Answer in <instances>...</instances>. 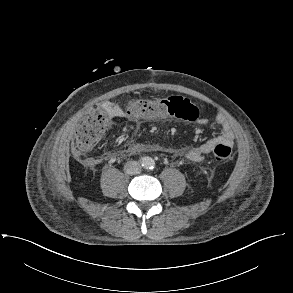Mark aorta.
I'll return each mask as SVG.
<instances>
[{
    "mask_svg": "<svg viewBox=\"0 0 293 293\" xmlns=\"http://www.w3.org/2000/svg\"><path fill=\"white\" fill-rule=\"evenodd\" d=\"M142 165H143V167L146 168V169H151V168L154 167V165H155V161H154V159H152L151 157H145V158L143 159Z\"/></svg>",
    "mask_w": 293,
    "mask_h": 293,
    "instance_id": "obj_1",
    "label": "aorta"
}]
</instances>
